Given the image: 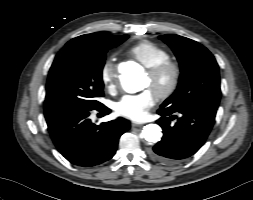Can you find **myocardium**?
I'll return each mask as SVG.
<instances>
[{"instance_id":"f54148a6","label":"myocardium","mask_w":253,"mask_h":200,"mask_svg":"<svg viewBox=\"0 0 253 200\" xmlns=\"http://www.w3.org/2000/svg\"><path fill=\"white\" fill-rule=\"evenodd\" d=\"M147 74L154 81H159L164 77L167 78V82L163 87L153 90L159 99H167L176 91L179 85L181 69L176 62L169 59L147 68Z\"/></svg>"}]
</instances>
